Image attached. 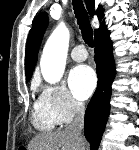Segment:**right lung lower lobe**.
<instances>
[{
	"mask_svg": "<svg viewBox=\"0 0 139 150\" xmlns=\"http://www.w3.org/2000/svg\"><path fill=\"white\" fill-rule=\"evenodd\" d=\"M94 41L98 86L87 106L84 123L85 137L91 150L98 149L105 130L110 110L111 84L115 76L112 42L104 24L94 33Z\"/></svg>",
	"mask_w": 139,
	"mask_h": 150,
	"instance_id": "98d812e1",
	"label": "right lung lower lobe"
}]
</instances>
